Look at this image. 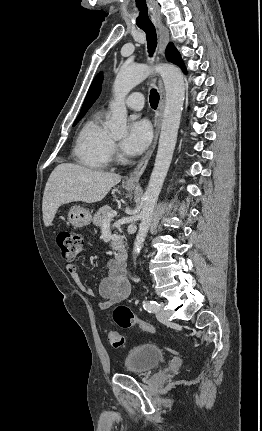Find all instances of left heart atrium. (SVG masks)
Here are the masks:
<instances>
[{
    "instance_id": "obj_1",
    "label": "left heart atrium",
    "mask_w": 262,
    "mask_h": 431,
    "mask_svg": "<svg viewBox=\"0 0 262 431\" xmlns=\"http://www.w3.org/2000/svg\"><path fill=\"white\" fill-rule=\"evenodd\" d=\"M151 140V127L146 120L133 119L128 127L126 137L122 141L125 154L136 156L142 153Z\"/></svg>"
}]
</instances>
